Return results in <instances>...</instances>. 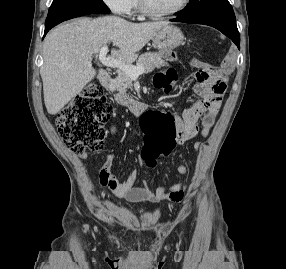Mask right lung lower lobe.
<instances>
[{
	"mask_svg": "<svg viewBox=\"0 0 286 269\" xmlns=\"http://www.w3.org/2000/svg\"><path fill=\"white\" fill-rule=\"evenodd\" d=\"M52 27H50V28H45V32H44V37H45V35L47 34V32L51 29ZM43 37V38H44Z\"/></svg>",
	"mask_w": 286,
	"mask_h": 269,
	"instance_id": "obj_1",
	"label": "right lung lower lobe"
}]
</instances>
